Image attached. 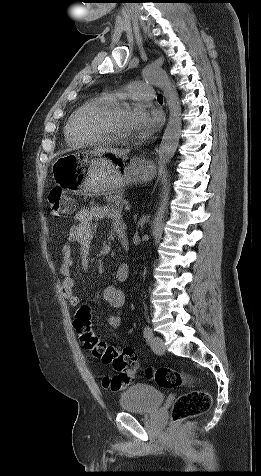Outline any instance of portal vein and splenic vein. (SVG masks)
I'll list each match as a JSON object with an SVG mask.
<instances>
[{
    "instance_id": "obj_1",
    "label": "portal vein and splenic vein",
    "mask_w": 261,
    "mask_h": 476,
    "mask_svg": "<svg viewBox=\"0 0 261 476\" xmlns=\"http://www.w3.org/2000/svg\"><path fill=\"white\" fill-rule=\"evenodd\" d=\"M124 205H125L124 210H125V211H129L130 208H131V206L129 205V203L125 201V202H124Z\"/></svg>"
}]
</instances>
